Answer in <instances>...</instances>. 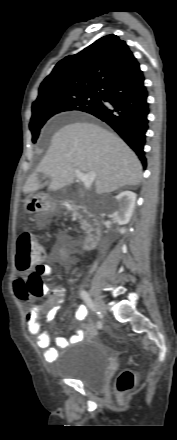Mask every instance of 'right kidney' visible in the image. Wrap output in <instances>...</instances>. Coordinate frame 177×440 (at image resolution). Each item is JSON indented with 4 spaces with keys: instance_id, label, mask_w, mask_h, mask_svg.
<instances>
[{
    "instance_id": "obj_1",
    "label": "right kidney",
    "mask_w": 177,
    "mask_h": 440,
    "mask_svg": "<svg viewBox=\"0 0 177 440\" xmlns=\"http://www.w3.org/2000/svg\"><path fill=\"white\" fill-rule=\"evenodd\" d=\"M136 202V194L132 191L126 190L115 197L113 203L114 212L112 214L113 220L120 226L129 223ZM120 234L126 232L125 227L119 229Z\"/></svg>"
}]
</instances>
